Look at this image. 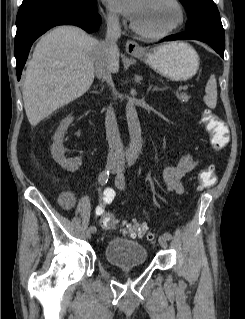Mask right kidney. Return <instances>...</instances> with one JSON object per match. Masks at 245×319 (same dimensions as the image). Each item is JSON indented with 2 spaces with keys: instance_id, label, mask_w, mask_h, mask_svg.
Listing matches in <instances>:
<instances>
[{
  "instance_id": "right-kidney-1",
  "label": "right kidney",
  "mask_w": 245,
  "mask_h": 319,
  "mask_svg": "<svg viewBox=\"0 0 245 319\" xmlns=\"http://www.w3.org/2000/svg\"><path fill=\"white\" fill-rule=\"evenodd\" d=\"M73 117L68 116L64 120L61 121L59 127L57 128L54 137H53V145L51 147V154L53 159L65 170L70 172H75L79 169L82 164L81 157H77L74 159H67L64 156L65 149L63 146L64 135L68 129V126L72 123Z\"/></svg>"
}]
</instances>
